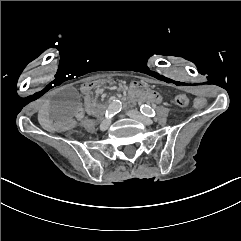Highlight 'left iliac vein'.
Instances as JSON below:
<instances>
[{
	"mask_svg": "<svg viewBox=\"0 0 241 241\" xmlns=\"http://www.w3.org/2000/svg\"><path fill=\"white\" fill-rule=\"evenodd\" d=\"M128 116L137 120V121H140L141 123L145 124V125H152L153 121L144 116L143 114H141L140 112H138L137 110H131L128 112Z\"/></svg>",
	"mask_w": 241,
	"mask_h": 241,
	"instance_id": "obj_1",
	"label": "left iliac vein"
}]
</instances>
